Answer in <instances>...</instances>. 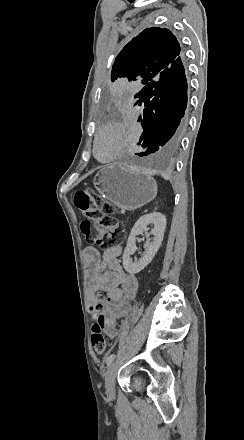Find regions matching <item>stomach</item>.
Returning <instances> with one entry per match:
<instances>
[{"label":"stomach","instance_id":"stomach-1","mask_svg":"<svg viewBox=\"0 0 244 440\" xmlns=\"http://www.w3.org/2000/svg\"><path fill=\"white\" fill-rule=\"evenodd\" d=\"M94 188L121 210H137L157 196V184L149 172L123 166H105L93 178Z\"/></svg>","mask_w":244,"mask_h":440}]
</instances>
